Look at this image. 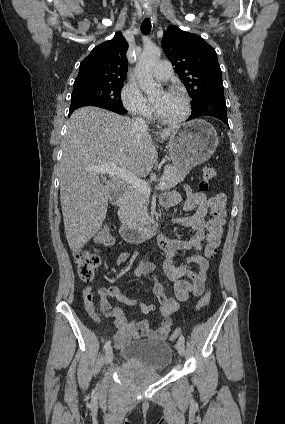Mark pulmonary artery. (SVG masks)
Masks as SVG:
<instances>
[{
    "instance_id": "1",
    "label": "pulmonary artery",
    "mask_w": 285,
    "mask_h": 424,
    "mask_svg": "<svg viewBox=\"0 0 285 424\" xmlns=\"http://www.w3.org/2000/svg\"><path fill=\"white\" fill-rule=\"evenodd\" d=\"M153 76L158 80H167L172 75V68L167 60H160L152 70Z\"/></svg>"
}]
</instances>
